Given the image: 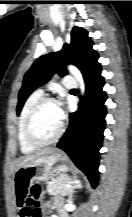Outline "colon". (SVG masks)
Instances as JSON below:
<instances>
[{
  "instance_id": "obj_1",
  "label": "colon",
  "mask_w": 132,
  "mask_h": 217,
  "mask_svg": "<svg viewBox=\"0 0 132 217\" xmlns=\"http://www.w3.org/2000/svg\"><path fill=\"white\" fill-rule=\"evenodd\" d=\"M41 189L38 185L30 188L26 195V203L31 210V217H42L40 209Z\"/></svg>"
}]
</instances>
